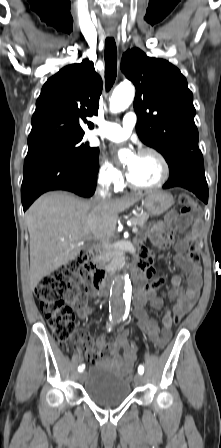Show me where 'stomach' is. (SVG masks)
<instances>
[{
    "instance_id": "0dacf381",
    "label": "stomach",
    "mask_w": 221,
    "mask_h": 448,
    "mask_svg": "<svg viewBox=\"0 0 221 448\" xmlns=\"http://www.w3.org/2000/svg\"><path fill=\"white\" fill-rule=\"evenodd\" d=\"M141 199L147 213L154 216L162 215L174 203L173 196L165 191H151L142 195Z\"/></svg>"
}]
</instances>
